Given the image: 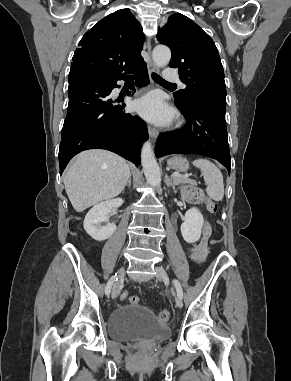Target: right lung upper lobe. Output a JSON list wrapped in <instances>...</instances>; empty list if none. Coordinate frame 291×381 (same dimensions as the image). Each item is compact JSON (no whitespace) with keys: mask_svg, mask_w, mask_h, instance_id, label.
I'll return each instance as SVG.
<instances>
[{"mask_svg":"<svg viewBox=\"0 0 291 381\" xmlns=\"http://www.w3.org/2000/svg\"><path fill=\"white\" fill-rule=\"evenodd\" d=\"M144 40L142 27L130 10L111 13L80 40L69 75L81 74L103 80L124 77L144 63L140 53Z\"/></svg>","mask_w":291,"mask_h":381,"instance_id":"right-lung-upper-lobe-1","label":"right lung upper lobe"}]
</instances>
